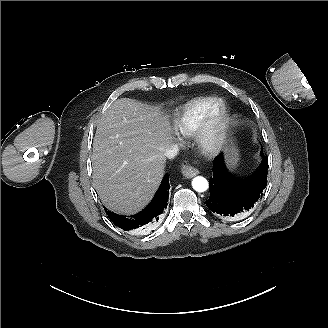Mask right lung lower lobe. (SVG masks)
Returning a JSON list of instances; mask_svg holds the SVG:
<instances>
[{
	"instance_id": "obj_1",
	"label": "right lung lower lobe",
	"mask_w": 328,
	"mask_h": 328,
	"mask_svg": "<svg viewBox=\"0 0 328 328\" xmlns=\"http://www.w3.org/2000/svg\"><path fill=\"white\" fill-rule=\"evenodd\" d=\"M169 178L166 174L157 190L154 198L149 205L141 212L131 215H118L105 209L109 219L119 228L124 231L145 229L148 224L157 222L163 210L167 207L169 197Z\"/></svg>"
}]
</instances>
